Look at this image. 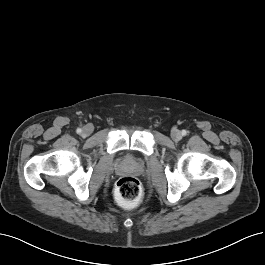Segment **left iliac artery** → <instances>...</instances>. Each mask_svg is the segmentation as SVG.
Segmentation results:
<instances>
[{
	"label": "left iliac artery",
	"instance_id": "44dca946",
	"mask_svg": "<svg viewBox=\"0 0 265 265\" xmlns=\"http://www.w3.org/2000/svg\"><path fill=\"white\" fill-rule=\"evenodd\" d=\"M187 132L185 130H182V135L185 136Z\"/></svg>",
	"mask_w": 265,
	"mask_h": 265
}]
</instances>
